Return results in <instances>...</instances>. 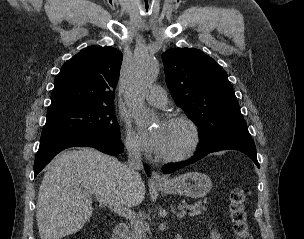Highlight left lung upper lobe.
<instances>
[{"label": "left lung upper lobe", "instance_id": "5c2ea615", "mask_svg": "<svg viewBox=\"0 0 304 239\" xmlns=\"http://www.w3.org/2000/svg\"><path fill=\"white\" fill-rule=\"evenodd\" d=\"M166 83L176 104L199 126L201 147L230 138L251 139L227 73L198 49L162 54Z\"/></svg>", "mask_w": 304, "mask_h": 239}]
</instances>
